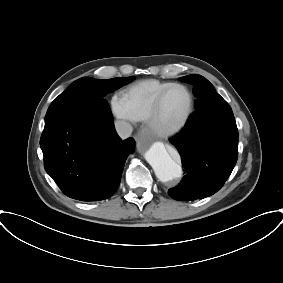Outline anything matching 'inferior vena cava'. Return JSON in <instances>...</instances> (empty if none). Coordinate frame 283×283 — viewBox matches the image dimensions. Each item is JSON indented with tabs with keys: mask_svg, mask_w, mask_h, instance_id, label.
<instances>
[{
	"mask_svg": "<svg viewBox=\"0 0 283 283\" xmlns=\"http://www.w3.org/2000/svg\"><path fill=\"white\" fill-rule=\"evenodd\" d=\"M115 129H116L117 134L122 139L128 138L132 134V131H133L132 126L128 122L123 121V120H117L115 122Z\"/></svg>",
	"mask_w": 283,
	"mask_h": 283,
	"instance_id": "inferior-vena-cava-1",
	"label": "inferior vena cava"
}]
</instances>
